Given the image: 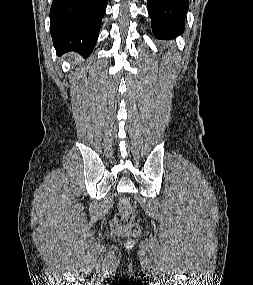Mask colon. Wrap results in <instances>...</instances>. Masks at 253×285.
Wrapping results in <instances>:
<instances>
[{"label": "colon", "instance_id": "colon-1", "mask_svg": "<svg viewBox=\"0 0 253 285\" xmlns=\"http://www.w3.org/2000/svg\"><path fill=\"white\" fill-rule=\"evenodd\" d=\"M135 212L127 198H120L118 212L114 216L111 226L119 235L136 236L139 233V226L134 223Z\"/></svg>", "mask_w": 253, "mask_h": 285}]
</instances>
